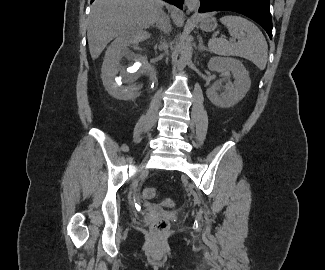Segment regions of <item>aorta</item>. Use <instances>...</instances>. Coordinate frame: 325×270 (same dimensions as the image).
Wrapping results in <instances>:
<instances>
[{"mask_svg": "<svg viewBox=\"0 0 325 270\" xmlns=\"http://www.w3.org/2000/svg\"><path fill=\"white\" fill-rule=\"evenodd\" d=\"M180 54V59L177 62V69L178 71H183L192 58V44L190 41L186 40L182 43Z\"/></svg>", "mask_w": 325, "mask_h": 270, "instance_id": "762f6f07", "label": "aorta"}]
</instances>
